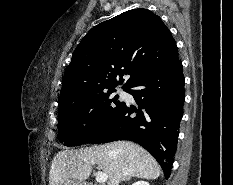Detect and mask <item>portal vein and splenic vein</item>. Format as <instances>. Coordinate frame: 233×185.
Returning a JSON list of instances; mask_svg holds the SVG:
<instances>
[{
    "instance_id": "portal-vein-and-splenic-vein-1",
    "label": "portal vein and splenic vein",
    "mask_w": 233,
    "mask_h": 185,
    "mask_svg": "<svg viewBox=\"0 0 233 185\" xmlns=\"http://www.w3.org/2000/svg\"><path fill=\"white\" fill-rule=\"evenodd\" d=\"M108 179V176L100 171L96 173V181L99 183H104Z\"/></svg>"
}]
</instances>
